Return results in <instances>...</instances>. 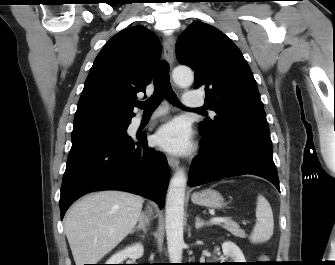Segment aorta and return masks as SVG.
<instances>
[{"mask_svg": "<svg viewBox=\"0 0 335 265\" xmlns=\"http://www.w3.org/2000/svg\"><path fill=\"white\" fill-rule=\"evenodd\" d=\"M172 76L174 82L181 87L190 86L194 81L192 70L184 66L176 67ZM186 184L187 178L184 170H177L170 180L166 196V239L171 263H180L182 260Z\"/></svg>", "mask_w": 335, "mask_h": 265, "instance_id": "762f6f07", "label": "aorta"}]
</instances>
